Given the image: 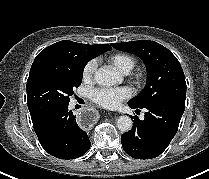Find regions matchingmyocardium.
Returning <instances> with one entry per match:
<instances>
[{"mask_svg":"<svg viewBox=\"0 0 209 179\" xmlns=\"http://www.w3.org/2000/svg\"><path fill=\"white\" fill-rule=\"evenodd\" d=\"M143 78H144V76L142 73H136L133 76V81L135 84L140 85L143 81Z\"/></svg>","mask_w":209,"mask_h":179,"instance_id":"myocardium-1","label":"myocardium"}]
</instances>
